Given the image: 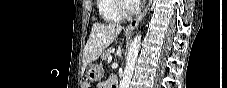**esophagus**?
<instances>
[{"mask_svg":"<svg viewBox=\"0 0 227 88\" xmlns=\"http://www.w3.org/2000/svg\"><path fill=\"white\" fill-rule=\"evenodd\" d=\"M152 3V0H149L147 2V5L145 7V9L140 13V15H138L134 20H132L129 25L127 26L126 30H133L137 27V25L139 24V22L142 20V18L145 16V14L147 13L150 5Z\"/></svg>","mask_w":227,"mask_h":88,"instance_id":"esophagus-1","label":"esophagus"}]
</instances>
